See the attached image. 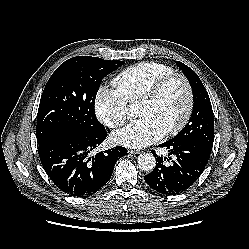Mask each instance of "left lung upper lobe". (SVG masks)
Returning a JSON list of instances; mask_svg holds the SVG:
<instances>
[{
    "mask_svg": "<svg viewBox=\"0 0 249 249\" xmlns=\"http://www.w3.org/2000/svg\"><path fill=\"white\" fill-rule=\"evenodd\" d=\"M177 66L187 77L193 92V112L187 125L171 140L195 143L212 150L214 141V117L208 93L198 75L182 62Z\"/></svg>",
    "mask_w": 249,
    "mask_h": 249,
    "instance_id": "left-lung-upper-lobe-1",
    "label": "left lung upper lobe"
}]
</instances>
